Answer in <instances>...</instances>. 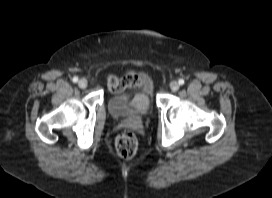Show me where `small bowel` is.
<instances>
[{"mask_svg": "<svg viewBox=\"0 0 272 198\" xmlns=\"http://www.w3.org/2000/svg\"><path fill=\"white\" fill-rule=\"evenodd\" d=\"M146 86H149L147 77L134 71H129L122 79L112 77L109 80V88L114 92H121L127 88L137 91Z\"/></svg>", "mask_w": 272, "mask_h": 198, "instance_id": "c3829d8e", "label": "small bowel"}]
</instances>
